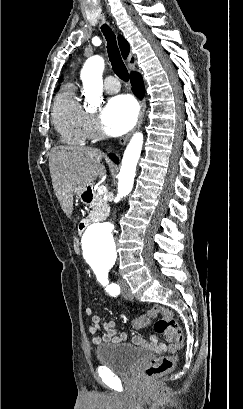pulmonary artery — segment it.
I'll list each match as a JSON object with an SVG mask.
<instances>
[{"instance_id": "1", "label": "pulmonary artery", "mask_w": 243, "mask_h": 409, "mask_svg": "<svg viewBox=\"0 0 243 409\" xmlns=\"http://www.w3.org/2000/svg\"><path fill=\"white\" fill-rule=\"evenodd\" d=\"M104 88L108 93H115L119 91L120 84L115 77L108 76L104 81Z\"/></svg>"}]
</instances>
